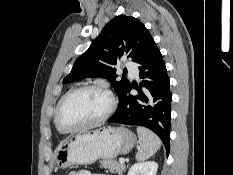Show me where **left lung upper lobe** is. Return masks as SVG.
I'll list each match as a JSON object with an SVG mask.
<instances>
[{"label":"left lung upper lobe","mask_w":233,"mask_h":175,"mask_svg":"<svg viewBox=\"0 0 233 175\" xmlns=\"http://www.w3.org/2000/svg\"><path fill=\"white\" fill-rule=\"evenodd\" d=\"M153 45L152 36L138 19L119 15L105 25L89 49L75 62L63 83L102 76L110 80L120 101L130 82L127 79L116 81V69L112 66L121 56L140 63Z\"/></svg>","instance_id":"5c2ea615"}]
</instances>
